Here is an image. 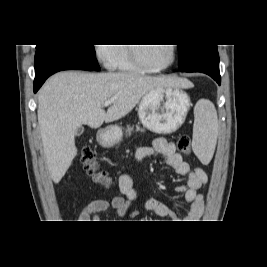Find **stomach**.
Masks as SVG:
<instances>
[{
	"mask_svg": "<svg viewBox=\"0 0 267 267\" xmlns=\"http://www.w3.org/2000/svg\"><path fill=\"white\" fill-rule=\"evenodd\" d=\"M190 97L179 87H161L146 93L138 106V116L144 127L158 134L175 132L185 121ZM122 137L118 126L100 132L98 142L103 147L113 146Z\"/></svg>",
	"mask_w": 267,
	"mask_h": 267,
	"instance_id": "0dacf381",
	"label": "stomach"
}]
</instances>
